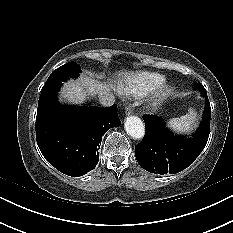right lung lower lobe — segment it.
<instances>
[{
	"label": "right lung lower lobe",
	"mask_w": 233,
	"mask_h": 233,
	"mask_svg": "<svg viewBox=\"0 0 233 233\" xmlns=\"http://www.w3.org/2000/svg\"><path fill=\"white\" fill-rule=\"evenodd\" d=\"M120 124L116 105L65 107L57 102L51 109L37 114L36 140L53 167L77 177L95 168L102 136Z\"/></svg>",
	"instance_id": "right-lung-lower-lobe-1"
}]
</instances>
